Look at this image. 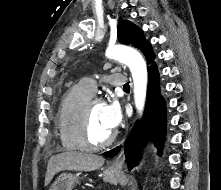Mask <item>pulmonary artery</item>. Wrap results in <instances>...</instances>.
<instances>
[{"mask_svg": "<svg viewBox=\"0 0 221 190\" xmlns=\"http://www.w3.org/2000/svg\"><path fill=\"white\" fill-rule=\"evenodd\" d=\"M106 82L113 86L123 87L126 84V78L123 74L111 73L107 77ZM80 84L92 96L96 93V81L93 77L84 78Z\"/></svg>", "mask_w": 221, "mask_h": 190, "instance_id": "obj_1", "label": "pulmonary artery"}]
</instances>
